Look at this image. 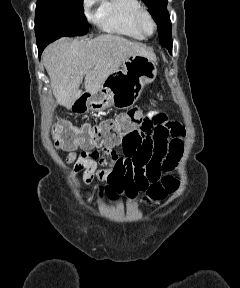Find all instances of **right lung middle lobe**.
Wrapping results in <instances>:
<instances>
[{
  "label": "right lung middle lobe",
  "instance_id": "obj_1",
  "mask_svg": "<svg viewBox=\"0 0 240 288\" xmlns=\"http://www.w3.org/2000/svg\"><path fill=\"white\" fill-rule=\"evenodd\" d=\"M82 5L83 0H38L35 11L37 46L63 36L86 34L87 19Z\"/></svg>",
  "mask_w": 240,
  "mask_h": 288
}]
</instances>
